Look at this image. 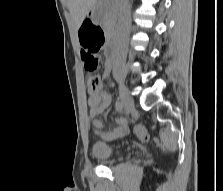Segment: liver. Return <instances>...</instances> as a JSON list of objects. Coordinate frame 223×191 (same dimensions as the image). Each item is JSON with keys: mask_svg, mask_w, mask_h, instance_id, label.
I'll return each mask as SVG.
<instances>
[{"mask_svg": "<svg viewBox=\"0 0 223 191\" xmlns=\"http://www.w3.org/2000/svg\"><path fill=\"white\" fill-rule=\"evenodd\" d=\"M97 0H68V8L76 28H79L86 15L95 8Z\"/></svg>", "mask_w": 223, "mask_h": 191, "instance_id": "1", "label": "liver"}]
</instances>
